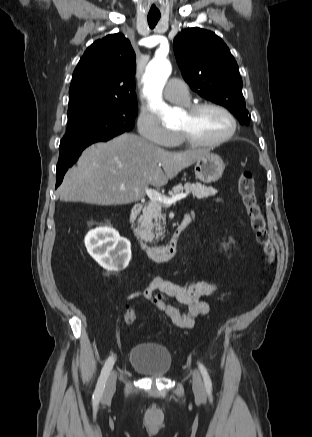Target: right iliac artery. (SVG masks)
Here are the masks:
<instances>
[{
    "label": "right iliac artery",
    "instance_id": "right-iliac-artery-1",
    "mask_svg": "<svg viewBox=\"0 0 312 437\" xmlns=\"http://www.w3.org/2000/svg\"><path fill=\"white\" fill-rule=\"evenodd\" d=\"M114 362H115L114 357L110 356L104 364V367L101 371L100 377L96 385V389L93 394V402L95 404H97L102 397L107 378L110 374V371L113 368Z\"/></svg>",
    "mask_w": 312,
    "mask_h": 437
}]
</instances>
